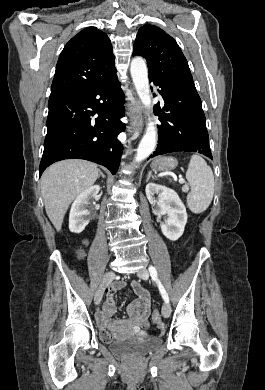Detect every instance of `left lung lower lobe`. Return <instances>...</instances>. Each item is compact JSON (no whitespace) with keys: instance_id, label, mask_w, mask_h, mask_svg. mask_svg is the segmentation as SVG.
Here are the masks:
<instances>
[{"instance_id":"1","label":"left lung lower lobe","mask_w":265,"mask_h":390,"mask_svg":"<svg viewBox=\"0 0 265 390\" xmlns=\"http://www.w3.org/2000/svg\"><path fill=\"white\" fill-rule=\"evenodd\" d=\"M149 81L160 87L158 92L165 102L163 109L158 104L155 106L161 124L158 126L157 148L149 158L189 151L213 159L205 115L194 82H161L150 78Z\"/></svg>"}]
</instances>
